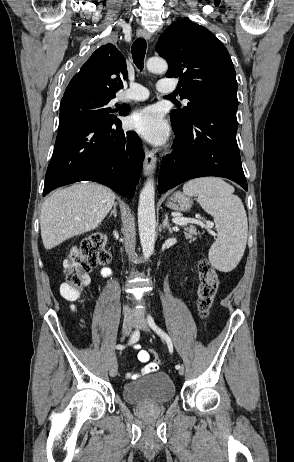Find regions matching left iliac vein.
Listing matches in <instances>:
<instances>
[{
  "instance_id": "1",
  "label": "left iliac vein",
  "mask_w": 294,
  "mask_h": 462,
  "mask_svg": "<svg viewBox=\"0 0 294 462\" xmlns=\"http://www.w3.org/2000/svg\"><path fill=\"white\" fill-rule=\"evenodd\" d=\"M133 326L135 328L141 329V330L146 331V332L149 331L147 321L145 320V318L143 316H139L138 318H136L133 321ZM178 372H179L180 375L184 374V366L183 365H181V367L178 369Z\"/></svg>"
}]
</instances>
